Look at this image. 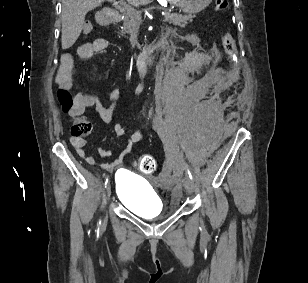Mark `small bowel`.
I'll return each mask as SVG.
<instances>
[{"mask_svg": "<svg viewBox=\"0 0 308 283\" xmlns=\"http://www.w3.org/2000/svg\"><path fill=\"white\" fill-rule=\"evenodd\" d=\"M108 47V41L104 38H97L92 42L85 43L79 47L78 53L81 57L89 58L94 54L103 52ZM75 64L72 58L63 57L60 62V67L56 76V81L60 89L70 90L77 87L74 80ZM120 92L118 89L113 90L109 95L110 104L105 106L100 100L91 94L79 93L75 96V105L72 110L68 112L70 117L78 116L84 113L87 108H94L101 120L105 123L111 121L116 108V101L118 100ZM114 132L117 136H124L127 130L121 123L114 125ZM142 138L140 129L135 130L128 136L127 144L120 157L111 163L103 164V168L110 169L121 162L124 154L130 151L132 145ZM72 146L75 148L79 157L83 158L89 165L95 164V158L88 155L85 151L86 141L83 138H76L74 136L70 139ZM98 153L101 157H109L112 151L99 149Z\"/></svg>", "mask_w": 308, "mask_h": 283, "instance_id": "1", "label": "small bowel"}]
</instances>
